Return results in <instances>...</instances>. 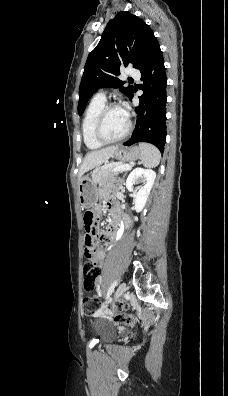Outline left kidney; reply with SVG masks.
<instances>
[{"instance_id": "obj_1", "label": "left kidney", "mask_w": 228, "mask_h": 396, "mask_svg": "<svg viewBox=\"0 0 228 396\" xmlns=\"http://www.w3.org/2000/svg\"><path fill=\"white\" fill-rule=\"evenodd\" d=\"M156 178V173L150 169L135 168L127 177L126 188L133 192L134 195V210L141 212L147 202L148 196L152 189ZM143 183L142 186L137 189L133 188V185Z\"/></svg>"}]
</instances>
